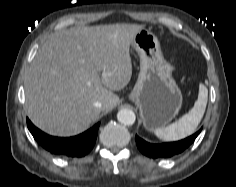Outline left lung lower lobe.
<instances>
[{
  "mask_svg": "<svg viewBox=\"0 0 236 187\" xmlns=\"http://www.w3.org/2000/svg\"><path fill=\"white\" fill-rule=\"evenodd\" d=\"M201 129L195 134L177 142L151 144L136 135V145L142 154L150 158H168L180 154L188 148L199 135Z\"/></svg>",
  "mask_w": 236,
  "mask_h": 187,
  "instance_id": "left-lung-lower-lobe-1",
  "label": "left lung lower lobe"
}]
</instances>
